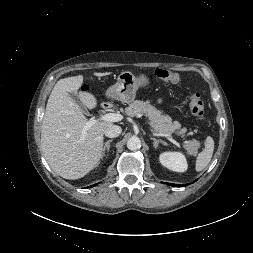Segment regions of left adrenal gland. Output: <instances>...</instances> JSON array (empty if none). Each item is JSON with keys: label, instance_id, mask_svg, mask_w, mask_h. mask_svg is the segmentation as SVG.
<instances>
[{"label": "left adrenal gland", "instance_id": "1", "mask_svg": "<svg viewBox=\"0 0 253 253\" xmlns=\"http://www.w3.org/2000/svg\"><path fill=\"white\" fill-rule=\"evenodd\" d=\"M150 139L153 140V146L155 149H157L159 143H161L163 145H167L166 142L161 139H156L154 137H151Z\"/></svg>", "mask_w": 253, "mask_h": 253}]
</instances>
